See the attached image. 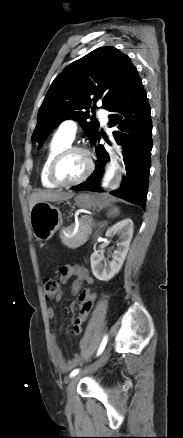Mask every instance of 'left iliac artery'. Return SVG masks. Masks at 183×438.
<instances>
[{
    "mask_svg": "<svg viewBox=\"0 0 183 438\" xmlns=\"http://www.w3.org/2000/svg\"><path fill=\"white\" fill-rule=\"evenodd\" d=\"M107 341H108V336L105 335L104 338H103V340H102V342H101V345H100V347H99V349H98L97 356H99V355L104 351V349H105V347H106V344H107ZM78 373H79V369H75V370H73V371L70 373V377H74V376H76Z\"/></svg>",
    "mask_w": 183,
    "mask_h": 438,
    "instance_id": "1",
    "label": "left iliac artery"
}]
</instances>
